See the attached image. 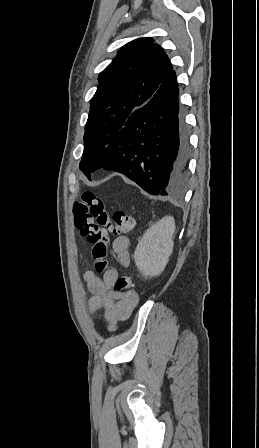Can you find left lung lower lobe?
Listing matches in <instances>:
<instances>
[{
    "mask_svg": "<svg viewBox=\"0 0 259 448\" xmlns=\"http://www.w3.org/2000/svg\"><path fill=\"white\" fill-rule=\"evenodd\" d=\"M190 154L189 133L179 106L172 70L151 99L133 110L123 128L91 163L124 174L152 195L168 196L184 184Z\"/></svg>",
    "mask_w": 259,
    "mask_h": 448,
    "instance_id": "0a47b994",
    "label": "left lung lower lobe"
}]
</instances>
